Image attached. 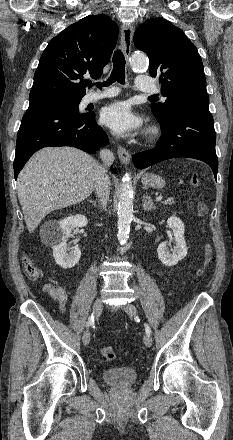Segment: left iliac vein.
<instances>
[{"mask_svg":"<svg viewBox=\"0 0 233 440\" xmlns=\"http://www.w3.org/2000/svg\"><path fill=\"white\" fill-rule=\"evenodd\" d=\"M123 310L130 316H136V313H137L136 307L131 303L126 304L123 307ZM144 343L147 347L152 346V338H151L150 334L146 333V335L144 337Z\"/></svg>","mask_w":233,"mask_h":440,"instance_id":"1","label":"left iliac vein"}]
</instances>
